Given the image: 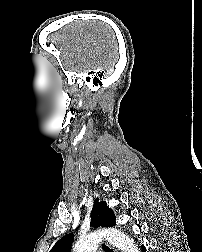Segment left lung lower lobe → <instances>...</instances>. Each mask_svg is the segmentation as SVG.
I'll list each match as a JSON object with an SVG mask.
<instances>
[{
	"mask_svg": "<svg viewBox=\"0 0 202 252\" xmlns=\"http://www.w3.org/2000/svg\"><path fill=\"white\" fill-rule=\"evenodd\" d=\"M141 247H142V249H143V252H145V247H144V245H142Z\"/></svg>",
	"mask_w": 202,
	"mask_h": 252,
	"instance_id": "obj_1",
	"label": "left lung lower lobe"
}]
</instances>
